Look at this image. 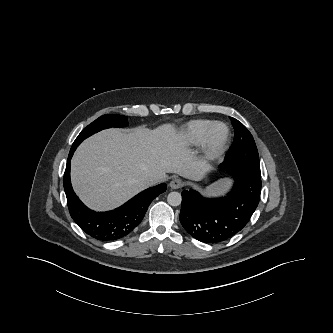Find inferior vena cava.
I'll list each match as a JSON object with an SVG mask.
<instances>
[{
	"label": "inferior vena cava",
	"instance_id": "obj_1",
	"mask_svg": "<svg viewBox=\"0 0 333 333\" xmlns=\"http://www.w3.org/2000/svg\"><path fill=\"white\" fill-rule=\"evenodd\" d=\"M156 177H147L146 179H145V182H146V184H148V185H152V184H154V183H156Z\"/></svg>",
	"mask_w": 333,
	"mask_h": 333
}]
</instances>
